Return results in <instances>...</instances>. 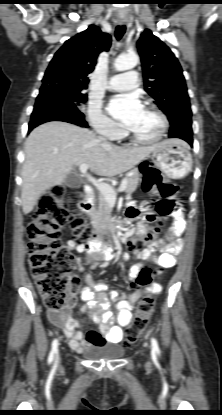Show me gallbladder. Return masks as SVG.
<instances>
[{"label":"gallbladder","instance_id":"1","mask_svg":"<svg viewBox=\"0 0 222 415\" xmlns=\"http://www.w3.org/2000/svg\"><path fill=\"white\" fill-rule=\"evenodd\" d=\"M64 185L70 188H78L82 185V179L73 173L67 175Z\"/></svg>","mask_w":222,"mask_h":415}]
</instances>
